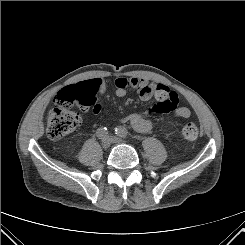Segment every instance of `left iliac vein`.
I'll use <instances>...</instances> for the list:
<instances>
[{
    "instance_id": "1",
    "label": "left iliac vein",
    "mask_w": 245,
    "mask_h": 245,
    "mask_svg": "<svg viewBox=\"0 0 245 245\" xmlns=\"http://www.w3.org/2000/svg\"><path fill=\"white\" fill-rule=\"evenodd\" d=\"M108 138L111 141V143H115V144L126 143L124 139H121L119 137L109 136Z\"/></svg>"
}]
</instances>
